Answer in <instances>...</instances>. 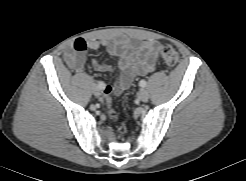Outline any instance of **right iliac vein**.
Listing matches in <instances>:
<instances>
[{"mask_svg":"<svg viewBox=\"0 0 246 181\" xmlns=\"http://www.w3.org/2000/svg\"><path fill=\"white\" fill-rule=\"evenodd\" d=\"M93 93H94L95 96H100L101 91H100V89L98 87H95L94 90H93Z\"/></svg>","mask_w":246,"mask_h":181,"instance_id":"right-iliac-vein-1","label":"right iliac vein"}]
</instances>
